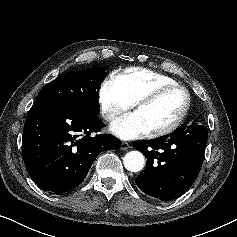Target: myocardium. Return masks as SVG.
<instances>
[{
    "instance_id": "obj_1",
    "label": "myocardium",
    "mask_w": 237,
    "mask_h": 237,
    "mask_svg": "<svg viewBox=\"0 0 237 237\" xmlns=\"http://www.w3.org/2000/svg\"><path fill=\"white\" fill-rule=\"evenodd\" d=\"M174 89L181 90L185 95V104H184L181 112L174 119V121L172 123H170L168 126H165L163 128H159V129H156L153 131H149V136L160 137L163 135H167V134L173 132L175 129H177L188 113V110L191 105V95H190L188 89L181 84H178V83L166 84V85H161V86L154 88L152 91H150L146 95L139 98L133 104V108L136 109L138 107H141L143 105L153 102L154 100H156L158 97H160L165 92L174 90Z\"/></svg>"
}]
</instances>
